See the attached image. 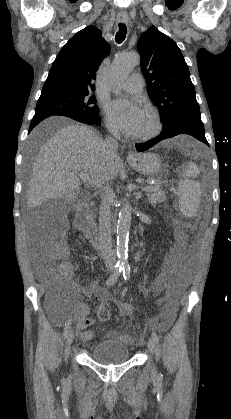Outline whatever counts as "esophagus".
Returning a JSON list of instances; mask_svg holds the SVG:
<instances>
[{"mask_svg": "<svg viewBox=\"0 0 231 419\" xmlns=\"http://www.w3.org/2000/svg\"><path fill=\"white\" fill-rule=\"evenodd\" d=\"M135 157V154L133 153V152H128V154H127V159L128 160H130V159H133Z\"/></svg>", "mask_w": 231, "mask_h": 419, "instance_id": "1", "label": "esophagus"}]
</instances>
